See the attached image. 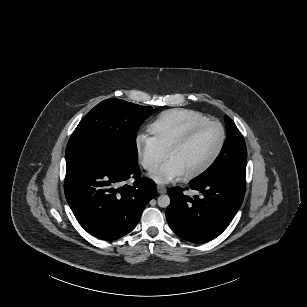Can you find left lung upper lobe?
<instances>
[{
  "label": "left lung upper lobe",
  "instance_id": "left-lung-upper-lobe-1",
  "mask_svg": "<svg viewBox=\"0 0 307 307\" xmlns=\"http://www.w3.org/2000/svg\"><path fill=\"white\" fill-rule=\"evenodd\" d=\"M227 137L215 162L191 183L203 182L215 177L232 176L245 179L247 150L244 138L235 123L227 115L224 117Z\"/></svg>",
  "mask_w": 307,
  "mask_h": 307
}]
</instances>
